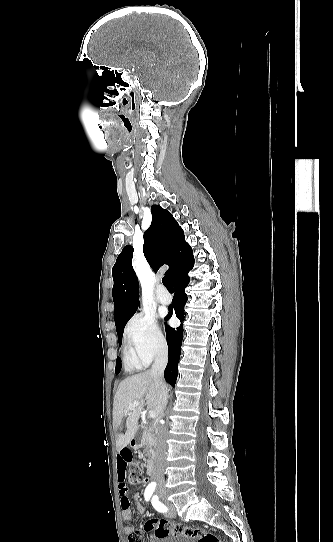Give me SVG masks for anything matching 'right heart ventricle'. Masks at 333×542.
Here are the masks:
<instances>
[{
	"mask_svg": "<svg viewBox=\"0 0 333 542\" xmlns=\"http://www.w3.org/2000/svg\"><path fill=\"white\" fill-rule=\"evenodd\" d=\"M124 363L130 371H140L146 368L151 358L147 357L138 347L125 345L123 350Z\"/></svg>",
	"mask_w": 333,
	"mask_h": 542,
	"instance_id": "1",
	"label": "right heart ventricle"
}]
</instances>
